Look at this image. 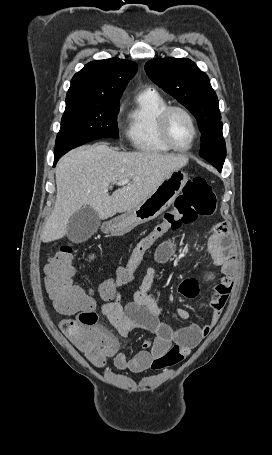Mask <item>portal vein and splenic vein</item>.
Wrapping results in <instances>:
<instances>
[{
	"label": "portal vein and splenic vein",
	"mask_w": 272,
	"mask_h": 455,
	"mask_svg": "<svg viewBox=\"0 0 272 455\" xmlns=\"http://www.w3.org/2000/svg\"><path fill=\"white\" fill-rule=\"evenodd\" d=\"M129 181H130V180H123V181H121V182H116V183H113V184H117V185H120V186H121V185H125V184L129 183Z\"/></svg>",
	"instance_id": "obj_1"
}]
</instances>
